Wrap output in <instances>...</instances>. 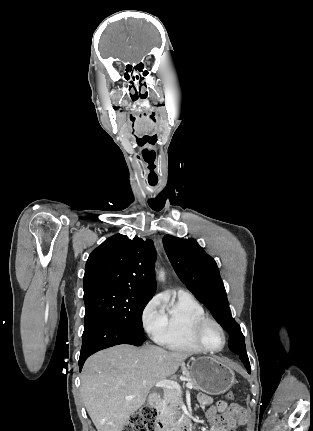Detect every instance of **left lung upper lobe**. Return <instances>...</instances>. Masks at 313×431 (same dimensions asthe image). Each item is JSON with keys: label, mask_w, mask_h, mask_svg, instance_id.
<instances>
[{"label": "left lung upper lobe", "mask_w": 313, "mask_h": 431, "mask_svg": "<svg viewBox=\"0 0 313 431\" xmlns=\"http://www.w3.org/2000/svg\"><path fill=\"white\" fill-rule=\"evenodd\" d=\"M163 245L179 278L227 331L230 336V350L240 356L250 371L245 338L240 325L232 318L226 291L214 259L194 239L165 235Z\"/></svg>", "instance_id": "left-lung-upper-lobe-1"}]
</instances>
